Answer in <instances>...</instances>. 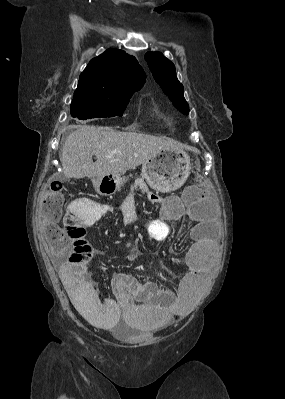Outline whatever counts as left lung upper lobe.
Returning <instances> with one entry per match:
<instances>
[{
    "instance_id": "obj_1",
    "label": "left lung upper lobe",
    "mask_w": 285,
    "mask_h": 399,
    "mask_svg": "<svg viewBox=\"0 0 285 399\" xmlns=\"http://www.w3.org/2000/svg\"><path fill=\"white\" fill-rule=\"evenodd\" d=\"M145 60L155 81L161 86L164 93L168 95L173 105L183 114H188L189 106L184 98L183 85L176 77L174 64L159 52L146 53Z\"/></svg>"
}]
</instances>
